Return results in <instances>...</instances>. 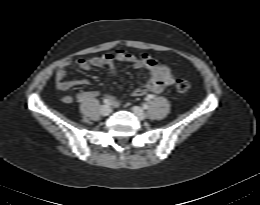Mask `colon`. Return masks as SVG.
<instances>
[{
	"label": "colon",
	"mask_w": 260,
	"mask_h": 205,
	"mask_svg": "<svg viewBox=\"0 0 260 205\" xmlns=\"http://www.w3.org/2000/svg\"><path fill=\"white\" fill-rule=\"evenodd\" d=\"M175 87L180 92H186L190 89V83L187 80L184 79H178L175 82Z\"/></svg>",
	"instance_id": "1"
}]
</instances>
